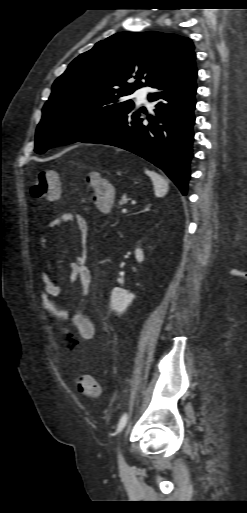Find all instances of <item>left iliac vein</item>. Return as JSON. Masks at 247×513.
<instances>
[{
  "label": "left iliac vein",
  "instance_id": "1",
  "mask_svg": "<svg viewBox=\"0 0 247 513\" xmlns=\"http://www.w3.org/2000/svg\"><path fill=\"white\" fill-rule=\"evenodd\" d=\"M118 463H119V467H120L121 470L126 469L127 464H126V462L124 460V457H123V455L121 453L120 448H118Z\"/></svg>",
  "mask_w": 247,
  "mask_h": 513
}]
</instances>
